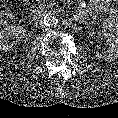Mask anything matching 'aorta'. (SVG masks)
Masks as SVG:
<instances>
[{
  "mask_svg": "<svg viewBox=\"0 0 118 118\" xmlns=\"http://www.w3.org/2000/svg\"><path fill=\"white\" fill-rule=\"evenodd\" d=\"M43 22L46 26H55L58 23V17L54 14H46L44 16Z\"/></svg>",
  "mask_w": 118,
  "mask_h": 118,
  "instance_id": "762f6f07",
  "label": "aorta"
}]
</instances>
